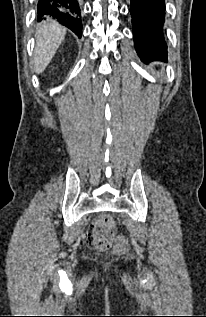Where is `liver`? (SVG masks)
Wrapping results in <instances>:
<instances>
[{
    "label": "liver",
    "instance_id": "1",
    "mask_svg": "<svg viewBox=\"0 0 206 317\" xmlns=\"http://www.w3.org/2000/svg\"><path fill=\"white\" fill-rule=\"evenodd\" d=\"M66 35V28L48 20L37 28L33 66L36 73H41L48 66Z\"/></svg>",
    "mask_w": 206,
    "mask_h": 317
}]
</instances>
